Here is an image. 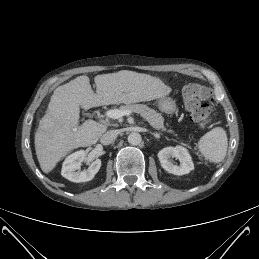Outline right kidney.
Masks as SVG:
<instances>
[{
    "label": "right kidney",
    "instance_id": "obj_1",
    "mask_svg": "<svg viewBox=\"0 0 259 259\" xmlns=\"http://www.w3.org/2000/svg\"><path fill=\"white\" fill-rule=\"evenodd\" d=\"M84 150L69 155L62 165L61 175L72 182H87L94 178L101 167V160L95 159L87 170L80 171L81 163L85 160Z\"/></svg>",
    "mask_w": 259,
    "mask_h": 259
}]
</instances>
